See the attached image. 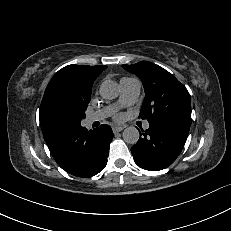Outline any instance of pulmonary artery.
Listing matches in <instances>:
<instances>
[{
	"instance_id": "pulmonary-artery-1",
	"label": "pulmonary artery",
	"mask_w": 231,
	"mask_h": 231,
	"mask_svg": "<svg viewBox=\"0 0 231 231\" xmlns=\"http://www.w3.org/2000/svg\"><path fill=\"white\" fill-rule=\"evenodd\" d=\"M120 97L116 104L105 107L101 110L89 113L86 115V124H92L96 121H101L111 115L118 108L134 104L140 94L141 83L137 78H122L120 80ZM149 128V123L144 124V129Z\"/></svg>"
}]
</instances>
